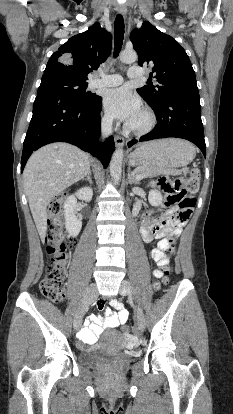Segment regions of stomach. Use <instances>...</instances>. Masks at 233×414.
Segmentation results:
<instances>
[{
	"label": "stomach",
	"instance_id": "stomach-1",
	"mask_svg": "<svg viewBox=\"0 0 233 414\" xmlns=\"http://www.w3.org/2000/svg\"><path fill=\"white\" fill-rule=\"evenodd\" d=\"M194 146L180 139H162L139 145L128 156L133 167H149L170 173L187 166L195 157Z\"/></svg>",
	"mask_w": 233,
	"mask_h": 414
}]
</instances>
